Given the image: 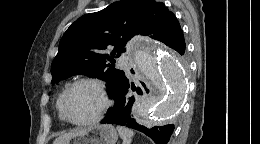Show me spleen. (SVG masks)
Instances as JSON below:
<instances>
[{"instance_id":"obj_1","label":"spleen","mask_w":260,"mask_h":144,"mask_svg":"<svg viewBox=\"0 0 260 144\" xmlns=\"http://www.w3.org/2000/svg\"><path fill=\"white\" fill-rule=\"evenodd\" d=\"M120 137L123 140V144H131L134 132L126 127L117 126Z\"/></svg>"}]
</instances>
